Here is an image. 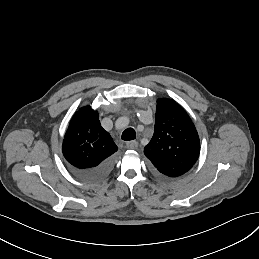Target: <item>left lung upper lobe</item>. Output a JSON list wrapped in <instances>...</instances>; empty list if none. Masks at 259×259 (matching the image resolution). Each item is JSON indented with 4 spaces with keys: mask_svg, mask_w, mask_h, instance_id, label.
<instances>
[{
    "mask_svg": "<svg viewBox=\"0 0 259 259\" xmlns=\"http://www.w3.org/2000/svg\"><path fill=\"white\" fill-rule=\"evenodd\" d=\"M144 154L156 171L167 178H178L196 163L200 141L186 111L174 100L157 101L154 134Z\"/></svg>",
    "mask_w": 259,
    "mask_h": 259,
    "instance_id": "1",
    "label": "left lung upper lobe"
}]
</instances>
